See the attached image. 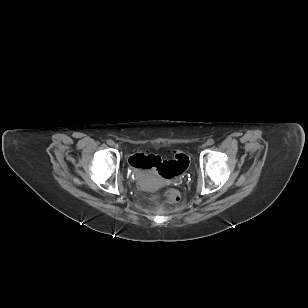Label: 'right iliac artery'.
<instances>
[{
	"label": "right iliac artery",
	"instance_id": "82829eb1",
	"mask_svg": "<svg viewBox=\"0 0 308 308\" xmlns=\"http://www.w3.org/2000/svg\"><path fill=\"white\" fill-rule=\"evenodd\" d=\"M113 143H114V142H113L112 140H107V144H108V145L111 146Z\"/></svg>",
	"mask_w": 308,
	"mask_h": 308
}]
</instances>
